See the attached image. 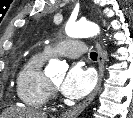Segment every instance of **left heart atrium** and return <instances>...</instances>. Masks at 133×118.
Instances as JSON below:
<instances>
[{
	"label": "left heart atrium",
	"instance_id": "obj_1",
	"mask_svg": "<svg viewBox=\"0 0 133 118\" xmlns=\"http://www.w3.org/2000/svg\"><path fill=\"white\" fill-rule=\"evenodd\" d=\"M94 72L80 64L73 65L60 85L61 92L69 99H80L94 87Z\"/></svg>",
	"mask_w": 133,
	"mask_h": 118
}]
</instances>
